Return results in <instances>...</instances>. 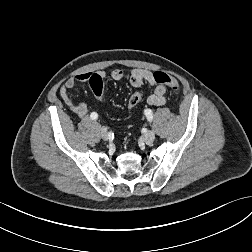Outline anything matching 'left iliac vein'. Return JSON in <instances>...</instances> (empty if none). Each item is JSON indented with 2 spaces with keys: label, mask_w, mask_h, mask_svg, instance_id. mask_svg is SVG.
Wrapping results in <instances>:
<instances>
[{
  "label": "left iliac vein",
  "mask_w": 252,
  "mask_h": 252,
  "mask_svg": "<svg viewBox=\"0 0 252 252\" xmlns=\"http://www.w3.org/2000/svg\"><path fill=\"white\" fill-rule=\"evenodd\" d=\"M155 139V133L153 131H148L142 136V141L150 144L154 141Z\"/></svg>",
  "instance_id": "4c4485c4"
}]
</instances>
